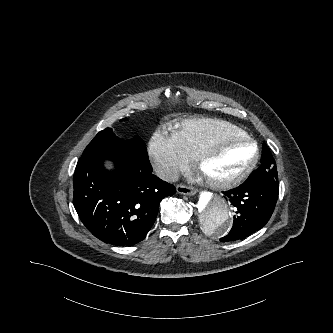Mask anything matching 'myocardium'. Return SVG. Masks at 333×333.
<instances>
[{
  "instance_id": "obj_1",
  "label": "myocardium",
  "mask_w": 333,
  "mask_h": 333,
  "mask_svg": "<svg viewBox=\"0 0 333 333\" xmlns=\"http://www.w3.org/2000/svg\"><path fill=\"white\" fill-rule=\"evenodd\" d=\"M230 140H238L248 143L253 148V155L250 161L235 175L226 178V179H211L203 176L206 184L216 190H226L235 187L243 180H245L249 174L253 171L255 166L259 160V146L255 139L250 137L249 135H238V134H223L219 135L208 143H206L195 155L194 157V166L195 169L200 172V169L206 160V158L210 155V153L222 142L230 141Z\"/></svg>"
}]
</instances>
